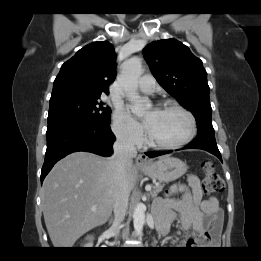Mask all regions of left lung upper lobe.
Wrapping results in <instances>:
<instances>
[{
  "mask_svg": "<svg viewBox=\"0 0 261 261\" xmlns=\"http://www.w3.org/2000/svg\"><path fill=\"white\" fill-rule=\"evenodd\" d=\"M143 54L158 83L194 115L198 134L214 133L202 61L175 39L152 42L143 49Z\"/></svg>",
  "mask_w": 261,
  "mask_h": 261,
  "instance_id": "obj_1",
  "label": "left lung upper lobe"
}]
</instances>
